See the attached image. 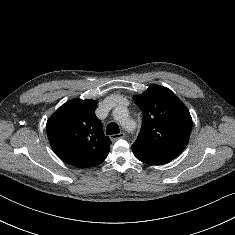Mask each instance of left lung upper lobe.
Segmentation results:
<instances>
[{"label":"left lung upper lobe","instance_id":"1","mask_svg":"<svg viewBox=\"0 0 235 235\" xmlns=\"http://www.w3.org/2000/svg\"><path fill=\"white\" fill-rule=\"evenodd\" d=\"M134 101L143 113V123L132 150L176 158L191 134L188 109L170 89L156 84L135 96Z\"/></svg>","mask_w":235,"mask_h":235}]
</instances>
